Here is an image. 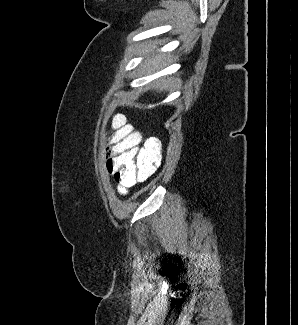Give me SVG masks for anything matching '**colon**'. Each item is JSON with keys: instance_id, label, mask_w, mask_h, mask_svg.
I'll list each match as a JSON object with an SVG mask.
<instances>
[{"instance_id": "colon-1", "label": "colon", "mask_w": 298, "mask_h": 325, "mask_svg": "<svg viewBox=\"0 0 298 325\" xmlns=\"http://www.w3.org/2000/svg\"><path fill=\"white\" fill-rule=\"evenodd\" d=\"M141 135L115 115L111 122V134L106 149V168L115 181L132 186L146 181L159 166L160 157L151 145L140 146Z\"/></svg>"}]
</instances>
